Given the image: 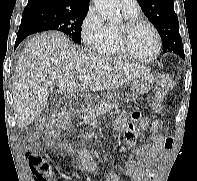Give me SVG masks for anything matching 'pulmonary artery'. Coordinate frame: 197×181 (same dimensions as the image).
<instances>
[{"mask_svg": "<svg viewBox=\"0 0 197 181\" xmlns=\"http://www.w3.org/2000/svg\"><path fill=\"white\" fill-rule=\"evenodd\" d=\"M119 8L124 12H137L139 5L137 0H117Z\"/></svg>", "mask_w": 197, "mask_h": 181, "instance_id": "e3ab8cb5", "label": "pulmonary artery"}]
</instances>
